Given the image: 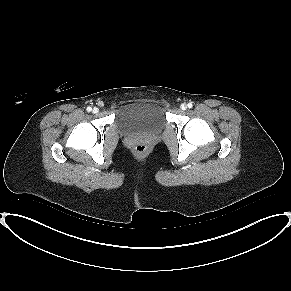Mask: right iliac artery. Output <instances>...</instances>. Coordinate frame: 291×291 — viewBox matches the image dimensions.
<instances>
[{
    "instance_id": "right-iliac-artery-1",
    "label": "right iliac artery",
    "mask_w": 291,
    "mask_h": 291,
    "mask_svg": "<svg viewBox=\"0 0 291 291\" xmlns=\"http://www.w3.org/2000/svg\"><path fill=\"white\" fill-rule=\"evenodd\" d=\"M92 108L90 106L87 107V111L90 112Z\"/></svg>"
}]
</instances>
